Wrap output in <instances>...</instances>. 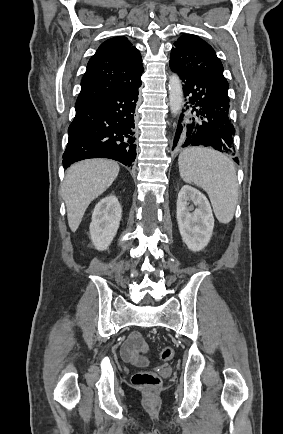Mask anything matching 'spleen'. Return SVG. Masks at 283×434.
<instances>
[{"label":"spleen","instance_id":"spleen-1","mask_svg":"<svg viewBox=\"0 0 283 434\" xmlns=\"http://www.w3.org/2000/svg\"><path fill=\"white\" fill-rule=\"evenodd\" d=\"M181 178L203 188L216 218L224 224L234 216L238 183L233 162L224 154L207 148H188L178 158Z\"/></svg>","mask_w":283,"mask_h":434}]
</instances>
